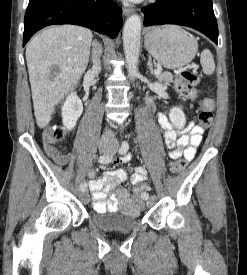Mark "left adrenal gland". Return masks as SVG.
Returning a JSON list of instances; mask_svg holds the SVG:
<instances>
[{
	"label": "left adrenal gland",
	"mask_w": 247,
	"mask_h": 275,
	"mask_svg": "<svg viewBox=\"0 0 247 275\" xmlns=\"http://www.w3.org/2000/svg\"><path fill=\"white\" fill-rule=\"evenodd\" d=\"M147 66H148V69L150 71V74L154 75V69H153V64H152L151 56H149Z\"/></svg>",
	"instance_id": "1"
}]
</instances>
